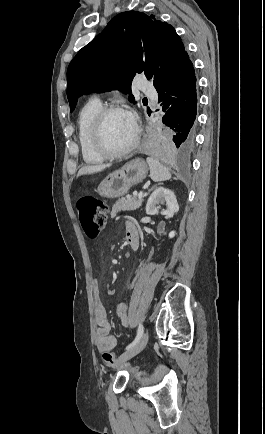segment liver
<instances>
[{"instance_id": "6515ba94", "label": "liver", "mask_w": 265, "mask_h": 434, "mask_svg": "<svg viewBox=\"0 0 265 434\" xmlns=\"http://www.w3.org/2000/svg\"><path fill=\"white\" fill-rule=\"evenodd\" d=\"M112 164H97V166H83L80 168L76 178L78 176H84V174H96V172H102L105 168H110Z\"/></svg>"}]
</instances>
